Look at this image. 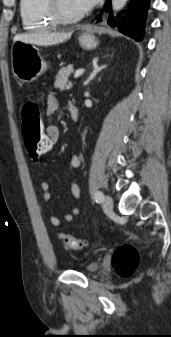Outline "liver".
Masks as SVG:
<instances>
[{
    "label": "liver",
    "mask_w": 171,
    "mask_h": 337,
    "mask_svg": "<svg viewBox=\"0 0 171 337\" xmlns=\"http://www.w3.org/2000/svg\"><path fill=\"white\" fill-rule=\"evenodd\" d=\"M71 37V33H50V32H40V33H29V34H18L14 37L13 42L23 41L26 43L39 45V46H50L56 45Z\"/></svg>",
    "instance_id": "1"
}]
</instances>
